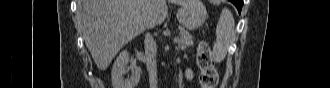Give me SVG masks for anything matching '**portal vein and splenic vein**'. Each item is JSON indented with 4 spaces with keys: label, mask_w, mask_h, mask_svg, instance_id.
Returning <instances> with one entry per match:
<instances>
[{
    "label": "portal vein and splenic vein",
    "mask_w": 330,
    "mask_h": 88,
    "mask_svg": "<svg viewBox=\"0 0 330 88\" xmlns=\"http://www.w3.org/2000/svg\"><path fill=\"white\" fill-rule=\"evenodd\" d=\"M178 41H179L178 38H175V39H174V43H177Z\"/></svg>",
    "instance_id": "1"
}]
</instances>
